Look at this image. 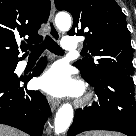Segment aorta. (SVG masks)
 <instances>
[{
	"instance_id": "1",
	"label": "aorta",
	"mask_w": 136,
	"mask_h": 136,
	"mask_svg": "<svg viewBox=\"0 0 136 136\" xmlns=\"http://www.w3.org/2000/svg\"><path fill=\"white\" fill-rule=\"evenodd\" d=\"M55 24L60 30H69L71 27V17L67 13H58L55 17ZM73 119V108L70 104L60 107L54 121L56 134L64 133L70 126Z\"/></svg>"
}]
</instances>
